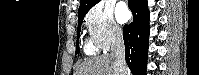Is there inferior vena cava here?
<instances>
[{
    "label": "inferior vena cava",
    "instance_id": "602c4592",
    "mask_svg": "<svg viewBox=\"0 0 199 75\" xmlns=\"http://www.w3.org/2000/svg\"><path fill=\"white\" fill-rule=\"evenodd\" d=\"M111 55L115 59V75H126L125 46L121 31H114L112 35Z\"/></svg>",
    "mask_w": 199,
    "mask_h": 75
}]
</instances>
